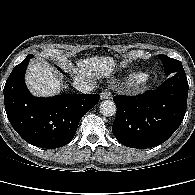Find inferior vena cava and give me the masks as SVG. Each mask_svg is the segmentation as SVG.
Wrapping results in <instances>:
<instances>
[{
  "instance_id": "602c4592",
  "label": "inferior vena cava",
  "mask_w": 195,
  "mask_h": 195,
  "mask_svg": "<svg viewBox=\"0 0 195 195\" xmlns=\"http://www.w3.org/2000/svg\"><path fill=\"white\" fill-rule=\"evenodd\" d=\"M75 88L82 93H90L97 88V85L91 81H82L76 84Z\"/></svg>"
}]
</instances>
